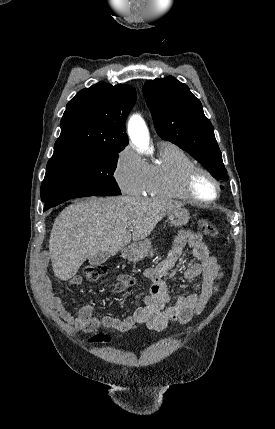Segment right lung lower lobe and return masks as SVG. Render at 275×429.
Listing matches in <instances>:
<instances>
[{
	"instance_id": "1",
	"label": "right lung lower lobe",
	"mask_w": 275,
	"mask_h": 429,
	"mask_svg": "<svg viewBox=\"0 0 275 429\" xmlns=\"http://www.w3.org/2000/svg\"><path fill=\"white\" fill-rule=\"evenodd\" d=\"M78 197H87L85 195H79V194H67V195H62V196H58L52 200H49L47 202H45V208L44 211L49 209L50 207H54L66 200L72 199V198H78Z\"/></svg>"
}]
</instances>
